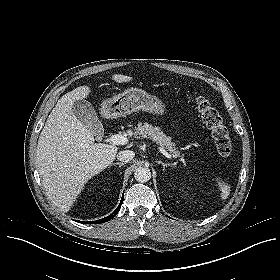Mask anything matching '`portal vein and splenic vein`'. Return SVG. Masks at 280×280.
I'll use <instances>...</instances> for the list:
<instances>
[{"instance_id":"portal-vein-and-splenic-vein-1","label":"portal vein and splenic vein","mask_w":280,"mask_h":280,"mask_svg":"<svg viewBox=\"0 0 280 280\" xmlns=\"http://www.w3.org/2000/svg\"><path fill=\"white\" fill-rule=\"evenodd\" d=\"M109 141L115 145H125L128 139L120 134H114L109 138ZM159 151L167 158H171V155L162 147H159Z\"/></svg>"}]
</instances>
